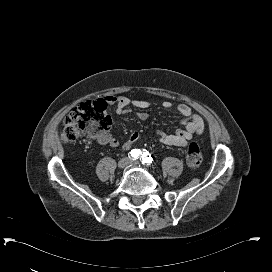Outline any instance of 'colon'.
Segmentation results:
<instances>
[{"label": "colon", "instance_id": "colon-1", "mask_svg": "<svg viewBox=\"0 0 272 272\" xmlns=\"http://www.w3.org/2000/svg\"><path fill=\"white\" fill-rule=\"evenodd\" d=\"M109 105L105 100L88 101L75 107L63 120L61 141L70 142L87 137L97 140L111 126ZM202 162V152L196 143L189 145L186 163L190 169H198Z\"/></svg>", "mask_w": 272, "mask_h": 272}]
</instances>
